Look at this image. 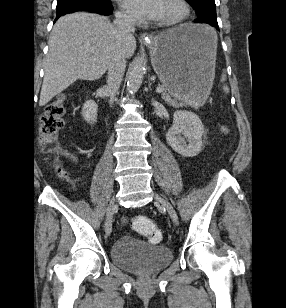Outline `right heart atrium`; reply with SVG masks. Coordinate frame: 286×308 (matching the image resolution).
Here are the masks:
<instances>
[{
  "instance_id": "d8ad5b80",
  "label": "right heart atrium",
  "mask_w": 286,
  "mask_h": 308,
  "mask_svg": "<svg viewBox=\"0 0 286 308\" xmlns=\"http://www.w3.org/2000/svg\"><path fill=\"white\" fill-rule=\"evenodd\" d=\"M118 19L122 22H128V23L136 22V19L133 18L131 15L127 14L126 12H119Z\"/></svg>"
}]
</instances>
